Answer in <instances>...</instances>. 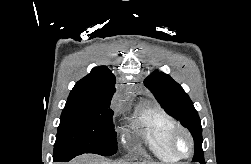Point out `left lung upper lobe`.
<instances>
[{"label":"left lung upper lobe","mask_w":251,"mask_h":164,"mask_svg":"<svg viewBox=\"0 0 251 164\" xmlns=\"http://www.w3.org/2000/svg\"><path fill=\"white\" fill-rule=\"evenodd\" d=\"M145 86L153 93L165 111L180 119L192 133L195 140L193 162L206 164L202 150L201 121L192 101L183 88L169 75L155 71L145 81Z\"/></svg>","instance_id":"1"}]
</instances>
